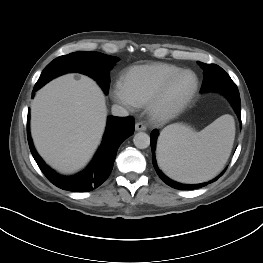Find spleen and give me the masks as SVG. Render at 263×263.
Returning <instances> with one entry per match:
<instances>
[{
    "instance_id": "spleen-1",
    "label": "spleen",
    "mask_w": 263,
    "mask_h": 263,
    "mask_svg": "<svg viewBox=\"0 0 263 263\" xmlns=\"http://www.w3.org/2000/svg\"><path fill=\"white\" fill-rule=\"evenodd\" d=\"M235 137V123L226 114L200 132L173 124L159 137L158 163L170 178L195 184L213 178L229 158Z\"/></svg>"
}]
</instances>
